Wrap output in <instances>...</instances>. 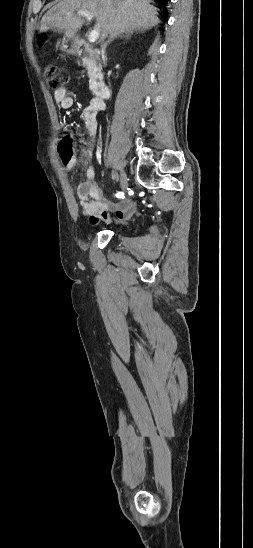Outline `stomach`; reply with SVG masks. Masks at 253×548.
<instances>
[{"instance_id": "1", "label": "stomach", "mask_w": 253, "mask_h": 548, "mask_svg": "<svg viewBox=\"0 0 253 548\" xmlns=\"http://www.w3.org/2000/svg\"><path fill=\"white\" fill-rule=\"evenodd\" d=\"M61 50L67 54H75L77 50V45L74 39V36L64 35L61 42Z\"/></svg>"}]
</instances>
